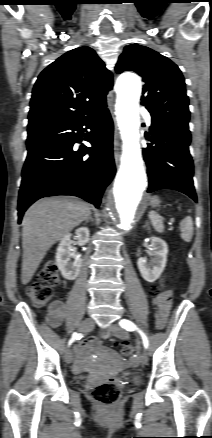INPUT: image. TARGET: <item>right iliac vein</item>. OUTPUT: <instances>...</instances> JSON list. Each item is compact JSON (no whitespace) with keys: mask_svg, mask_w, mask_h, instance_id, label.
<instances>
[{"mask_svg":"<svg viewBox=\"0 0 212 438\" xmlns=\"http://www.w3.org/2000/svg\"><path fill=\"white\" fill-rule=\"evenodd\" d=\"M94 328V321L91 318H87L81 322L79 325V331L81 332H89ZM73 359V353L71 349H67L65 353V361L67 363H71Z\"/></svg>","mask_w":212,"mask_h":438,"instance_id":"obj_1","label":"right iliac vein"}]
</instances>
